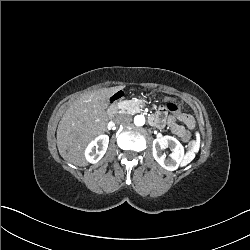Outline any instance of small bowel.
<instances>
[{
  "label": "small bowel",
  "mask_w": 250,
  "mask_h": 250,
  "mask_svg": "<svg viewBox=\"0 0 250 250\" xmlns=\"http://www.w3.org/2000/svg\"><path fill=\"white\" fill-rule=\"evenodd\" d=\"M181 116H188L186 113L180 112L179 115H177V118L180 119ZM181 120V119H180Z\"/></svg>",
  "instance_id": "1"
}]
</instances>
